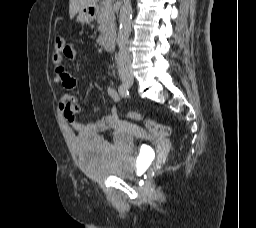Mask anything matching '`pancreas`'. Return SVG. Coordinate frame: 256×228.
Here are the masks:
<instances>
[{
	"label": "pancreas",
	"mask_w": 256,
	"mask_h": 228,
	"mask_svg": "<svg viewBox=\"0 0 256 228\" xmlns=\"http://www.w3.org/2000/svg\"><path fill=\"white\" fill-rule=\"evenodd\" d=\"M97 22L99 23L98 30L102 34H107L114 29L115 16L112 10V0L108 3L104 0L101 3L100 11L97 15Z\"/></svg>",
	"instance_id": "pancreas-1"
}]
</instances>
